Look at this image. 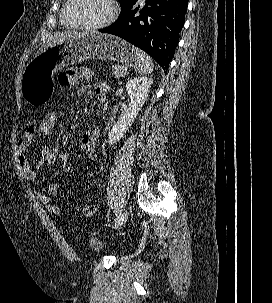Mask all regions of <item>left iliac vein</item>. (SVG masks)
<instances>
[{
	"label": "left iliac vein",
	"mask_w": 272,
	"mask_h": 303,
	"mask_svg": "<svg viewBox=\"0 0 272 303\" xmlns=\"http://www.w3.org/2000/svg\"><path fill=\"white\" fill-rule=\"evenodd\" d=\"M119 215V222H116V225L113 227L115 230L120 229L125 224L128 219V211L124 210Z\"/></svg>",
	"instance_id": "1"
}]
</instances>
